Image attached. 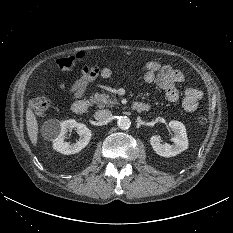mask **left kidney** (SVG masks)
Returning <instances> with one entry per match:
<instances>
[{
	"instance_id": "obj_1",
	"label": "left kidney",
	"mask_w": 233,
	"mask_h": 233,
	"mask_svg": "<svg viewBox=\"0 0 233 233\" xmlns=\"http://www.w3.org/2000/svg\"><path fill=\"white\" fill-rule=\"evenodd\" d=\"M168 126L175 134L172 138V141L174 142L173 145L167 143L162 144L156 135H153L150 138V144L153 150L162 157L176 156L188 148V138L184 124L172 120L169 122Z\"/></svg>"
}]
</instances>
